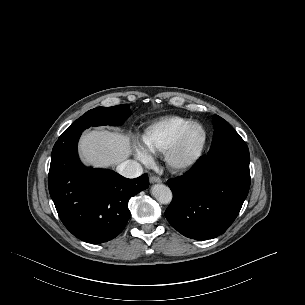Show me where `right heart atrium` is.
Returning a JSON list of instances; mask_svg holds the SVG:
<instances>
[{
    "label": "right heart atrium",
    "mask_w": 305,
    "mask_h": 305,
    "mask_svg": "<svg viewBox=\"0 0 305 305\" xmlns=\"http://www.w3.org/2000/svg\"><path fill=\"white\" fill-rule=\"evenodd\" d=\"M136 156L138 159L143 161L144 163H149L151 161V156L148 151L142 147L136 148Z\"/></svg>",
    "instance_id": "obj_1"
}]
</instances>
